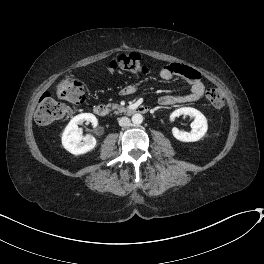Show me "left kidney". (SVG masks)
<instances>
[{
	"mask_svg": "<svg viewBox=\"0 0 264 264\" xmlns=\"http://www.w3.org/2000/svg\"><path fill=\"white\" fill-rule=\"evenodd\" d=\"M181 115H188L193 117L194 120L191 123V132L180 131L177 128L172 129L173 136L182 142H195L200 140L207 132L208 124L206 117L197 109L191 107H182L173 111L170 115V119L174 120L175 117Z\"/></svg>",
	"mask_w": 264,
	"mask_h": 264,
	"instance_id": "1",
	"label": "left kidney"
}]
</instances>
